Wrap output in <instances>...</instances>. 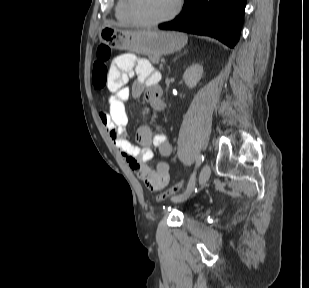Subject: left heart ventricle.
<instances>
[{
  "label": "left heart ventricle",
  "mask_w": 309,
  "mask_h": 288,
  "mask_svg": "<svg viewBox=\"0 0 309 288\" xmlns=\"http://www.w3.org/2000/svg\"><path fill=\"white\" fill-rule=\"evenodd\" d=\"M176 0H133L134 13L142 20H156L168 15Z\"/></svg>",
  "instance_id": "1"
}]
</instances>
